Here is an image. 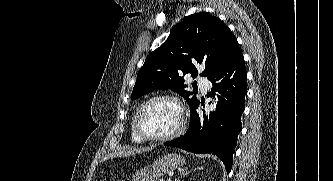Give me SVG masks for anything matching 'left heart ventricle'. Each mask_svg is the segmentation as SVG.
<instances>
[{
	"mask_svg": "<svg viewBox=\"0 0 333 181\" xmlns=\"http://www.w3.org/2000/svg\"><path fill=\"white\" fill-rule=\"evenodd\" d=\"M180 122L178 106L168 100L149 104L141 116L143 130L152 136H162L174 131Z\"/></svg>",
	"mask_w": 333,
	"mask_h": 181,
	"instance_id": "b2bd125f",
	"label": "left heart ventricle"
}]
</instances>
